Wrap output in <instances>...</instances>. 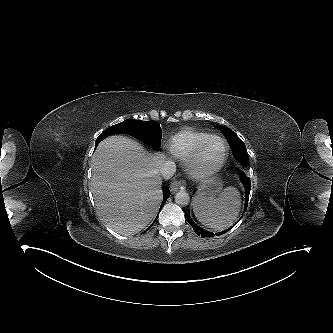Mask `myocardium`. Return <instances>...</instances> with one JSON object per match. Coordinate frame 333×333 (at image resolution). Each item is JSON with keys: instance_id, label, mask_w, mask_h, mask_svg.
<instances>
[{"instance_id": "f54148a6", "label": "myocardium", "mask_w": 333, "mask_h": 333, "mask_svg": "<svg viewBox=\"0 0 333 333\" xmlns=\"http://www.w3.org/2000/svg\"><path fill=\"white\" fill-rule=\"evenodd\" d=\"M212 140H220L224 144L223 155H222L221 159L219 160V162L217 164H215L214 166L209 167V168L201 167L202 154H203L204 150L206 149V147L208 146V144ZM228 152H229V146H228L227 141L224 138L217 136V135L209 136L206 140H204L199 145V147L196 149L194 154L188 159L186 166H187L189 174L191 175V177H193L194 179H197V180H205V179H208V178L214 176L217 172L220 171V169L225 164L227 156H228Z\"/></svg>"}]
</instances>
